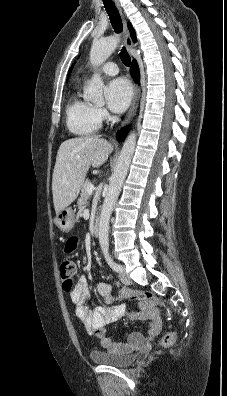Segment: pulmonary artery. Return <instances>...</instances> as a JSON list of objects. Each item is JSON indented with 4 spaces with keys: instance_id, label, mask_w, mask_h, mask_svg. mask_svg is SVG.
<instances>
[{
    "instance_id": "1",
    "label": "pulmonary artery",
    "mask_w": 227,
    "mask_h": 396,
    "mask_svg": "<svg viewBox=\"0 0 227 396\" xmlns=\"http://www.w3.org/2000/svg\"><path fill=\"white\" fill-rule=\"evenodd\" d=\"M100 71L108 75H116L119 69L114 62H107L100 68Z\"/></svg>"
}]
</instances>
